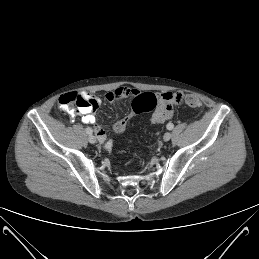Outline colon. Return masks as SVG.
Returning <instances> with one entry per match:
<instances>
[{"label": "colon", "instance_id": "1", "mask_svg": "<svg viewBox=\"0 0 259 259\" xmlns=\"http://www.w3.org/2000/svg\"><path fill=\"white\" fill-rule=\"evenodd\" d=\"M185 103L189 107L198 108V109L201 108V105H202L201 101L193 95L186 96ZM157 104H158V98L154 94L140 93V94H137L133 100L132 110L134 114L149 112L153 110L157 106ZM131 118H132V115H129L123 118L122 120H120L119 122H117L114 126V131L116 133H122L126 129Z\"/></svg>", "mask_w": 259, "mask_h": 259}]
</instances>
